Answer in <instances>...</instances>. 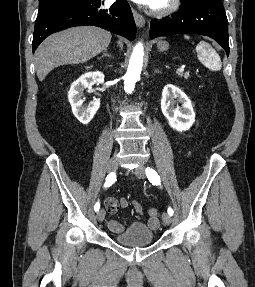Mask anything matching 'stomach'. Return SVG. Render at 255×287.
Listing matches in <instances>:
<instances>
[{"mask_svg": "<svg viewBox=\"0 0 255 287\" xmlns=\"http://www.w3.org/2000/svg\"><path fill=\"white\" fill-rule=\"evenodd\" d=\"M157 46H158V50H160V52H165V50H168L167 42H162V40H159Z\"/></svg>", "mask_w": 255, "mask_h": 287, "instance_id": "obj_1", "label": "stomach"}]
</instances>
